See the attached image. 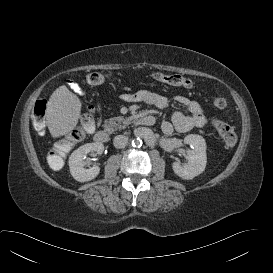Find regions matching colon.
Returning <instances> with one entry per match:
<instances>
[{
  "label": "colon",
  "instance_id": "1",
  "mask_svg": "<svg viewBox=\"0 0 273 273\" xmlns=\"http://www.w3.org/2000/svg\"><path fill=\"white\" fill-rule=\"evenodd\" d=\"M108 74L103 71H92L87 75V80L90 84L100 85L106 81ZM152 79L159 83L169 84L173 86L191 87V80L179 75V74H165L161 72H155L152 74ZM213 105L218 109L226 107L227 102L223 97H215ZM46 112H47V100L39 99L36 101L33 112L32 121L35 129L39 132L44 131L46 127ZM213 127L218 131L225 144L232 147L237 142V135L234 129L227 123L219 119H212ZM96 127V116L94 106H89L88 111L85 112L80 120L78 126L69 134L64 144L60 145L52 154L50 159V165L59 169L61 167V159L56 155L61 154L64 150L81 141L87 132H92Z\"/></svg>",
  "mask_w": 273,
  "mask_h": 273
}]
</instances>
